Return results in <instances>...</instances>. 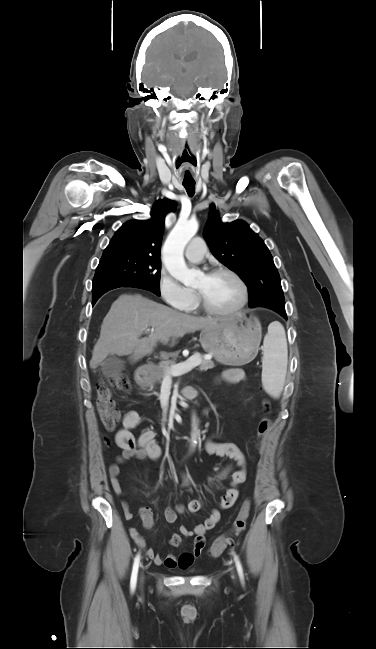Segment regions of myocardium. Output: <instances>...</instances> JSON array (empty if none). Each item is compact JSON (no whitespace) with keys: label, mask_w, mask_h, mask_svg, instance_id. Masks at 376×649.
Listing matches in <instances>:
<instances>
[{"label":"myocardium","mask_w":376,"mask_h":649,"mask_svg":"<svg viewBox=\"0 0 376 649\" xmlns=\"http://www.w3.org/2000/svg\"><path fill=\"white\" fill-rule=\"evenodd\" d=\"M221 273L231 276L238 283L241 291V298L240 301L237 303V305L227 310H220V309L213 308L212 306L209 305L204 295L197 290H195L196 301L199 307H201L205 312L211 315L233 316L238 314L246 306L248 301V296H249L248 287L245 281L243 280V278L237 272L225 266L213 267L210 270H208L205 275L212 276Z\"/></svg>","instance_id":"obj_1"}]
</instances>
